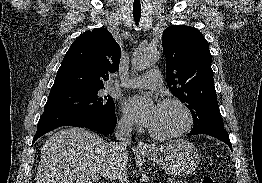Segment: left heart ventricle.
<instances>
[{"label":"left heart ventricle","instance_id":"1","mask_svg":"<svg viewBox=\"0 0 262 183\" xmlns=\"http://www.w3.org/2000/svg\"><path fill=\"white\" fill-rule=\"evenodd\" d=\"M186 124L184 111L175 104H160L155 121L150 128L162 135L174 133Z\"/></svg>","mask_w":262,"mask_h":183}]
</instances>
